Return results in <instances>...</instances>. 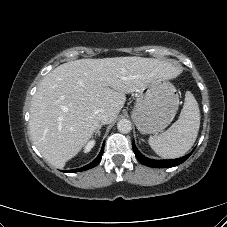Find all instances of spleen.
I'll use <instances>...</instances> for the list:
<instances>
[{"instance_id":"obj_1","label":"spleen","mask_w":227,"mask_h":227,"mask_svg":"<svg viewBox=\"0 0 227 227\" xmlns=\"http://www.w3.org/2000/svg\"><path fill=\"white\" fill-rule=\"evenodd\" d=\"M200 111L191 92H186L178 120L164 133L151 136L150 147L163 158H178L193 146L199 131Z\"/></svg>"}]
</instances>
